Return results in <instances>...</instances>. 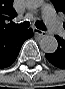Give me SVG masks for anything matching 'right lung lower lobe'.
I'll use <instances>...</instances> for the list:
<instances>
[{"label":"right lung lower lobe","instance_id":"98d812e1","mask_svg":"<svg viewBox=\"0 0 65 89\" xmlns=\"http://www.w3.org/2000/svg\"><path fill=\"white\" fill-rule=\"evenodd\" d=\"M33 36V30H13L0 34V69L14 63L24 41Z\"/></svg>","mask_w":65,"mask_h":89}]
</instances>
